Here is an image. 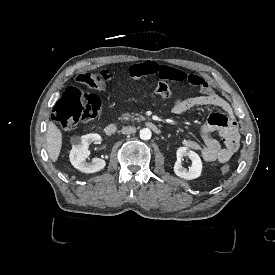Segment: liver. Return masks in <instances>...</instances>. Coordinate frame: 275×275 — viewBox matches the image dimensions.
<instances>
[{
  "instance_id": "obj_1",
  "label": "liver",
  "mask_w": 275,
  "mask_h": 275,
  "mask_svg": "<svg viewBox=\"0 0 275 275\" xmlns=\"http://www.w3.org/2000/svg\"><path fill=\"white\" fill-rule=\"evenodd\" d=\"M46 143L50 159L56 162L62 146V133L53 122L48 124Z\"/></svg>"
}]
</instances>
